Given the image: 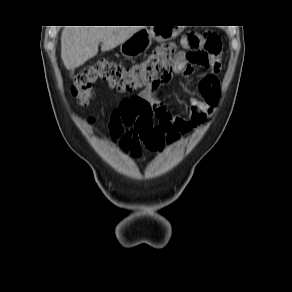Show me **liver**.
Instances as JSON below:
<instances>
[{
  "label": "liver",
  "mask_w": 292,
  "mask_h": 292,
  "mask_svg": "<svg viewBox=\"0 0 292 292\" xmlns=\"http://www.w3.org/2000/svg\"><path fill=\"white\" fill-rule=\"evenodd\" d=\"M140 30L136 26H66L61 35V58L68 70L83 65L98 53L124 43Z\"/></svg>",
  "instance_id": "6515ba94"
}]
</instances>
